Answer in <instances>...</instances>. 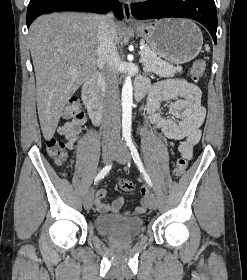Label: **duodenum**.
Wrapping results in <instances>:
<instances>
[{
    "label": "duodenum",
    "mask_w": 247,
    "mask_h": 280,
    "mask_svg": "<svg viewBox=\"0 0 247 280\" xmlns=\"http://www.w3.org/2000/svg\"><path fill=\"white\" fill-rule=\"evenodd\" d=\"M99 74L91 75L86 82L83 84L82 88V98L85 106L88 110L89 116L95 124L101 122L103 105L99 96ZM143 95V90L139 89L137 92V97L140 99Z\"/></svg>",
    "instance_id": "duodenum-1"
}]
</instances>
